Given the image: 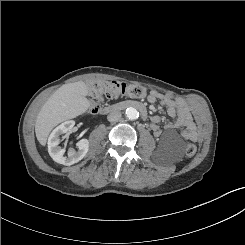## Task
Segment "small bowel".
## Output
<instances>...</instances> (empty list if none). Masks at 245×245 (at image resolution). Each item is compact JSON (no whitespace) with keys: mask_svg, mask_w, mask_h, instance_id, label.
Wrapping results in <instances>:
<instances>
[{"mask_svg":"<svg viewBox=\"0 0 245 245\" xmlns=\"http://www.w3.org/2000/svg\"><path fill=\"white\" fill-rule=\"evenodd\" d=\"M150 103L160 102L162 106L167 109L168 115L174 119V122L166 126L167 130L183 128L181 136L190 141H197L199 139V132L194 122L190 109L187 104L169 94H160L156 91L149 93L147 97ZM151 130L155 137H161L163 131L159 126L161 118L159 116L151 117Z\"/></svg>","mask_w":245,"mask_h":245,"instance_id":"small-bowel-1","label":"small bowel"}]
</instances>
